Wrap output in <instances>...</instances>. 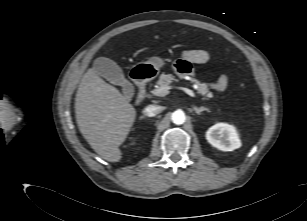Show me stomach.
I'll use <instances>...</instances> for the list:
<instances>
[{
	"instance_id": "stomach-1",
	"label": "stomach",
	"mask_w": 307,
	"mask_h": 221,
	"mask_svg": "<svg viewBox=\"0 0 307 221\" xmlns=\"http://www.w3.org/2000/svg\"><path fill=\"white\" fill-rule=\"evenodd\" d=\"M165 64L164 60L160 57H152L147 62L139 63L138 66L144 67L146 70H148V76L153 77L155 76L161 67H163Z\"/></svg>"
}]
</instances>
